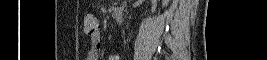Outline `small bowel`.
Returning <instances> with one entry per match:
<instances>
[{"mask_svg":"<svg viewBox=\"0 0 267 60\" xmlns=\"http://www.w3.org/2000/svg\"><path fill=\"white\" fill-rule=\"evenodd\" d=\"M101 51V36L96 32L90 36V46L87 51V60H97ZM122 55L118 52L110 54L107 60H121Z\"/></svg>","mask_w":267,"mask_h":60,"instance_id":"obj_1","label":"small bowel"}]
</instances>
